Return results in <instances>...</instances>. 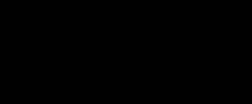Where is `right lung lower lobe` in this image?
I'll list each match as a JSON object with an SVG mask.
<instances>
[{"mask_svg":"<svg viewBox=\"0 0 252 104\" xmlns=\"http://www.w3.org/2000/svg\"><path fill=\"white\" fill-rule=\"evenodd\" d=\"M35 96L41 104H112L120 89L109 74H95L73 57L57 55L39 72Z\"/></svg>","mask_w":252,"mask_h":104,"instance_id":"right-lung-lower-lobe-1","label":"right lung lower lobe"}]
</instances>
